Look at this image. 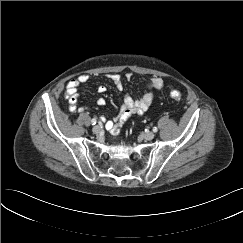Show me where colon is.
I'll list each match as a JSON object with an SVG mask.
<instances>
[{
  "label": "colon",
  "instance_id": "colon-1",
  "mask_svg": "<svg viewBox=\"0 0 243 243\" xmlns=\"http://www.w3.org/2000/svg\"><path fill=\"white\" fill-rule=\"evenodd\" d=\"M170 96L175 100H179L181 99L182 94L180 91L174 89L170 91Z\"/></svg>",
  "mask_w": 243,
  "mask_h": 243
}]
</instances>
